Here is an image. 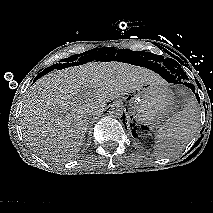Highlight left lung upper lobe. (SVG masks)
<instances>
[{
    "label": "left lung upper lobe",
    "mask_w": 213,
    "mask_h": 213,
    "mask_svg": "<svg viewBox=\"0 0 213 213\" xmlns=\"http://www.w3.org/2000/svg\"><path fill=\"white\" fill-rule=\"evenodd\" d=\"M163 58H161L162 60ZM164 65L167 67V69L170 71V73L178 80H188L187 75L183 71V69L180 67V65L173 59H164L163 60Z\"/></svg>",
    "instance_id": "1"
}]
</instances>
